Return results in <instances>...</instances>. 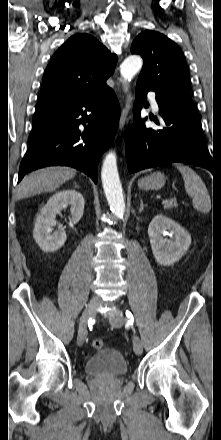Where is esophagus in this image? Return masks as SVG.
Returning <instances> with one entry per match:
<instances>
[{
  "label": "esophagus",
  "instance_id": "1",
  "mask_svg": "<svg viewBox=\"0 0 221 440\" xmlns=\"http://www.w3.org/2000/svg\"><path fill=\"white\" fill-rule=\"evenodd\" d=\"M130 104L127 102L122 110L120 118V129H122L127 121V115L129 113Z\"/></svg>",
  "mask_w": 221,
  "mask_h": 440
}]
</instances>
